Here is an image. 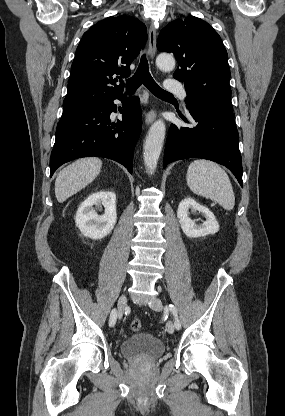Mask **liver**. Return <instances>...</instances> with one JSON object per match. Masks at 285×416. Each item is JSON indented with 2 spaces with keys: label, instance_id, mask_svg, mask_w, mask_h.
I'll return each instance as SVG.
<instances>
[{
  "label": "liver",
  "instance_id": "obj_1",
  "mask_svg": "<svg viewBox=\"0 0 285 416\" xmlns=\"http://www.w3.org/2000/svg\"><path fill=\"white\" fill-rule=\"evenodd\" d=\"M102 162L99 158H81L59 172L55 180V196L62 204L99 176Z\"/></svg>",
  "mask_w": 285,
  "mask_h": 416
}]
</instances>
